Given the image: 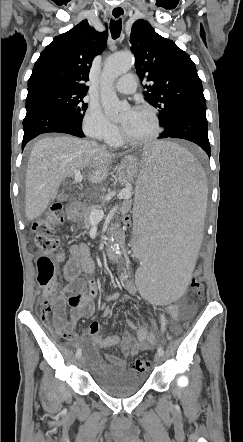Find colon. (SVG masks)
Wrapping results in <instances>:
<instances>
[{
	"label": "colon",
	"instance_id": "colon-1",
	"mask_svg": "<svg viewBox=\"0 0 243 442\" xmlns=\"http://www.w3.org/2000/svg\"><path fill=\"white\" fill-rule=\"evenodd\" d=\"M132 213H121L120 221L124 222L123 227L126 230L131 229L133 221ZM65 220L64 210L61 204H53L48 212V217L36 221L33 225L34 242L37 248L44 255L57 254L60 242L54 235V226L63 224ZM38 283L43 289L41 301V319L44 323L51 325L55 332L63 337L69 336L68 322L65 312L55 311V295L57 292L56 274L53 261L48 257H41L37 262ZM203 264L197 263L192 278H190V288L194 299H201L203 284L201 276ZM131 369L138 374H147L151 370V364L148 360L141 357H134Z\"/></svg>",
	"mask_w": 243,
	"mask_h": 442
}]
</instances>
